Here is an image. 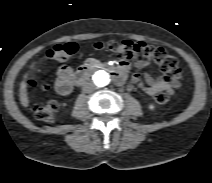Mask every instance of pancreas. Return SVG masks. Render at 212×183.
Instances as JSON below:
<instances>
[{"label": "pancreas", "instance_id": "cf45deb5", "mask_svg": "<svg viewBox=\"0 0 212 183\" xmlns=\"http://www.w3.org/2000/svg\"><path fill=\"white\" fill-rule=\"evenodd\" d=\"M88 62H95L96 60L95 59H89V60H87Z\"/></svg>", "mask_w": 212, "mask_h": 183}]
</instances>
